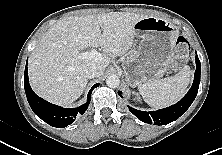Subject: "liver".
I'll list each match as a JSON object with an SVG mask.
<instances>
[{
    "mask_svg": "<svg viewBox=\"0 0 222 155\" xmlns=\"http://www.w3.org/2000/svg\"><path fill=\"white\" fill-rule=\"evenodd\" d=\"M146 17L109 12L59 20L44 33L29 57L32 89L52 103H73L87 85L86 68L95 63L105 69L112 58L128 55L134 47V25ZM88 47H102L103 59H82L80 55Z\"/></svg>",
    "mask_w": 222,
    "mask_h": 155,
    "instance_id": "6515ba94",
    "label": "liver"
}]
</instances>
